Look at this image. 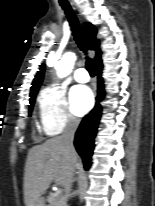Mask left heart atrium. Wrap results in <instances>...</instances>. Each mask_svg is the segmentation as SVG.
I'll return each mask as SVG.
<instances>
[{
  "label": "left heart atrium",
  "mask_w": 155,
  "mask_h": 206,
  "mask_svg": "<svg viewBox=\"0 0 155 206\" xmlns=\"http://www.w3.org/2000/svg\"><path fill=\"white\" fill-rule=\"evenodd\" d=\"M70 100L73 111L78 115H82L92 107L93 95L88 87L76 86L71 90Z\"/></svg>",
  "instance_id": "1"
}]
</instances>
